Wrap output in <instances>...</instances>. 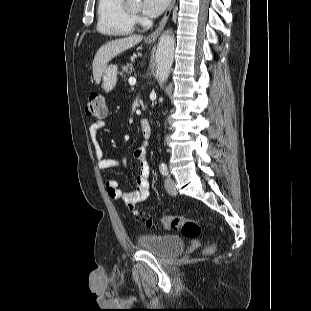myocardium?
Masks as SVG:
<instances>
[{"label": "myocardium", "mask_w": 311, "mask_h": 311, "mask_svg": "<svg viewBox=\"0 0 311 311\" xmlns=\"http://www.w3.org/2000/svg\"><path fill=\"white\" fill-rule=\"evenodd\" d=\"M124 8L128 14V16L131 18V20L135 23L138 21V13L133 11L126 0H124Z\"/></svg>", "instance_id": "myocardium-1"}]
</instances>
